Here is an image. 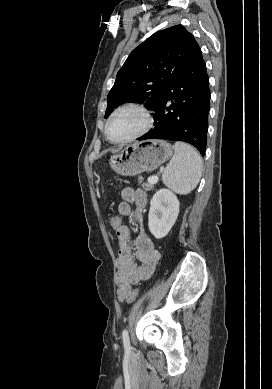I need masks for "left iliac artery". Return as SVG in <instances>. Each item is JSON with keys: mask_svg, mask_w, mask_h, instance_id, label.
<instances>
[{"mask_svg": "<svg viewBox=\"0 0 272 389\" xmlns=\"http://www.w3.org/2000/svg\"><path fill=\"white\" fill-rule=\"evenodd\" d=\"M123 345L126 352H130V340L127 329H124L122 332Z\"/></svg>", "mask_w": 272, "mask_h": 389, "instance_id": "left-iliac-artery-1", "label": "left iliac artery"}]
</instances>
